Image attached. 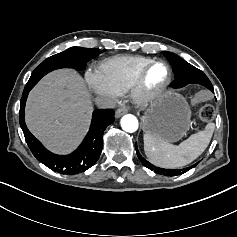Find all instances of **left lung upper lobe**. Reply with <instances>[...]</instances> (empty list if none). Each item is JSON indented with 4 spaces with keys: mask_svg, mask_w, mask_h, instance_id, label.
Masks as SVG:
<instances>
[{
    "mask_svg": "<svg viewBox=\"0 0 237 237\" xmlns=\"http://www.w3.org/2000/svg\"><path fill=\"white\" fill-rule=\"evenodd\" d=\"M165 56L169 59V61L173 65V71L175 73L176 79L171 84L173 88H182L186 86L187 84H200L205 86L208 89H212L213 86L208 79V77L199 69L192 66L191 64L187 63L185 60L181 59L179 56L172 52H163ZM136 152L138 155L139 160L141 163L147 167L150 170H154L156 173L166 176H176L181 175L185 172H187L189 169L193 168V166H190L185 169H163L159 167H155L148 161H146L139 153L136 145ZM198 164V163H197ZM195 164V165H197Z\"/></svg>",
    "mask_w": 237,
    "mask_h": 237,
    "instance_id": "5c2ea615",
    "label": "left lung upper lobe"
}]
</instances>
